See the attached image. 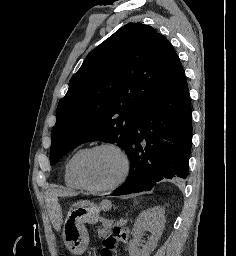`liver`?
<instances>
[{
    "instance_id": "obj_1",
    "label": "liver",
    "mask_w": 236,
    "mask_h": 256,
    "mask_svg": "<svg viewBox=\"0 0 236 256\" xmlns=\"http://www.w3.org/2000/svg\"><path fill=\"white\" fill-rule=\"evenodd\" d=\"M57 196H59L57 190H48L45 194V202L47 204L50 218L55 216L56 208L59 206ZM66 196H78V194L77 192H66Z\"/></svg>"
}]
</instances>
